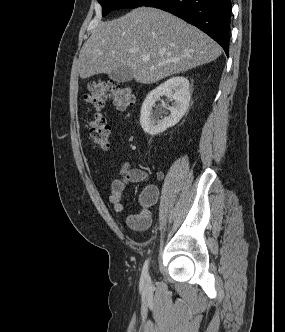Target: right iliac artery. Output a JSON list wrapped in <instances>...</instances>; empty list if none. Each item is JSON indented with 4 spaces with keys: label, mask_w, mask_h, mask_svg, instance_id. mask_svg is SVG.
I'll return each mask as SVG.
<instances>
[{
    "label": "right iliac artery",
    "mask_w": 285,
    "mask_h": 332,
    "mask_svg": "<svg viewBox=\"0 0 285 332\" xmlns=\"http://www.w3.org/2000/svg\"><path fill=\"white\" fill-rule=\"evenodd\" d=\"M148 264H149V259H147L143 265V269H142V274H141V280L144 281L145 279H147L149 277L148 274Z\"/></svg>",
    "instance_id": "1"
}]
</instances>
